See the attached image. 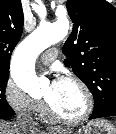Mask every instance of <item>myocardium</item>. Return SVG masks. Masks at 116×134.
<instances>
[{
  "instance_id": "myocardium-1",
  "label": "myocardium",
  "mask_w": 116,
  "mask_h": 134,
  "mask_svg": "<svg viewBox=\"0 0 116 134\" xmlns=\"http://www.w3.org/2000/svg\"><path fill=\"white\" fill-rule=\"evenodd\" d=\"M61 81L71 82L77 85L82 91L85 98V109L84 111L76 117H66L58 113L50 104V102L45 99L46 107L49 115L55 120L65 123V124H79L85 121L93 112L94 109V98L89 87L79 78L73 75H65L61 78Z\"/></svg>"
}]
</instances>
